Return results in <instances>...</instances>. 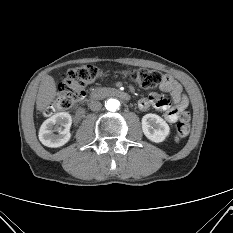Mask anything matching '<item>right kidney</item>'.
Listing matches in <instances>:
<instances>
[{
  "instance_id": "ca27d5eb",
  "label": "right kidney",
  "mask_w": 233,
  "mask_h": 233,
  "mask_svg": "<svg viewBox=\"0 0 233 233\" xmlns=\"http://www.w3.org/2000/svg\"><path fill=\"white\" fill-rule=\"evenodd\" d=\"M71 124L72 118L69 113H57L43 122L39 130V140L51 148L63 146L70 140Z\"/></svg>"
}]
</instances>
